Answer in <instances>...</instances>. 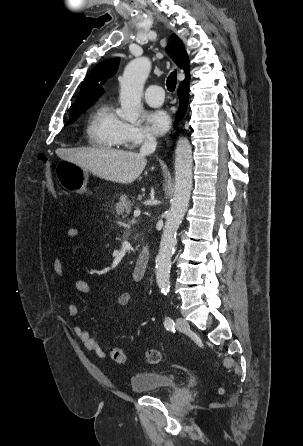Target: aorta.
Returning <instances> with one entry per match:
<instances>
[{
	"label": "aorta",
	"mask_w": 303,
	"mask_h": 446,
	"mask_svg": "<svg viewBox=\"0 0 303 446\" xmlns=\"http://www.w3.org/2000/svg\"><path fill=\"white\" fill-rule=\"evenodd\" d=\"M148 58L132 60L120 80L119 116L128 122L137 121L142 110L144 83L150 73ZM192 147L187 138H180L175 149V191L156 257V281L163 294L170 290L171 258L177 244V230L187 211L192 190Z\"/></svg>",
	"instance_id": "1"
}]
</instances>
